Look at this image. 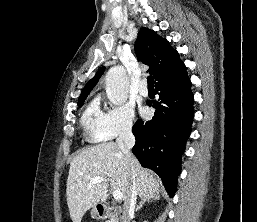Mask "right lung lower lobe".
Instances as JSON below:
<instances>
[{"label":"right lung lower lobe","instance_id":"obj_1","mask_svg":"<svg viewBox=\"0 0 257 222\" xmlns=\"http://www.w3.org/2000/svg\"><path fill=\"white\" fill-rule=\"evenodd\" d=\"M158 101L152 120L138 119L132 132L136 143L133 154L143 167L157 173L170 197L176 192L181 172V156L191 133L193 121V93L187 73H181L155 83Z\"/></svg>","mask_w":257,"mask_h":222}]
</instances>
